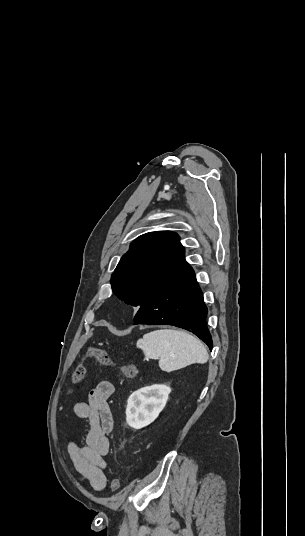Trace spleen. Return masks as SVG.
<instances>
[{"label": "spleen", "mask_w": 305, "mask_h": 536, "mask_svg": "<svg viewBox=\"0 0 305 536\" xmlns=\"http://www.w3.org/2000/svg\"><path fill=\"white\" fill-rule=\"evenodd\" d=\"M136 348L149 360H159L163 372L181 370L190 364H205L209 356L198 338L180 330H155L137 340Z\"/></svg>", "instance_id": "1"}]
</instances>
